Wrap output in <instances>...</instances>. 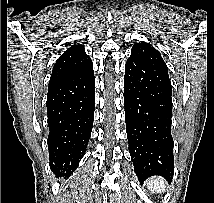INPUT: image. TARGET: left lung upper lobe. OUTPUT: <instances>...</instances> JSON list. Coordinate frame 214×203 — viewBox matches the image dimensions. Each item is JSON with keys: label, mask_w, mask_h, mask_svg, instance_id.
I'll use <instances>...</instances> for the list:
<instances>
[{"label": "left lung upper lobe", "mask_w": 214, "mask_h": 203, "mask_svg": "<svg viewBox=\"0 0 214 203\" xmlns=\"http://www.w3.org/2000/svg\"><path fill=\"white\" fill-rule=\"evenodd\" d=\"M132 49H139V50H148V51H152L154 53H156L157 55L161 56L160 53L154 49V47L146 42H141V43H136L134 44Z\"/></svg>", "instance_id": "left-lung-upper-lobe-1"}]
</instances>
